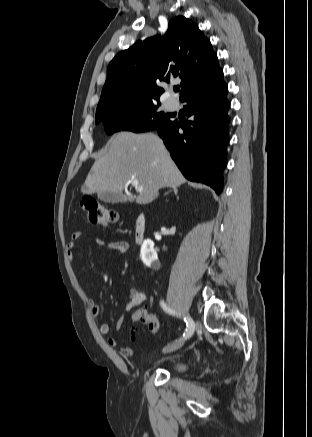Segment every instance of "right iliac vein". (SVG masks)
Listing matches in <instances>:
<instances>
[{"instance_id":"63e3f726","label":"right iliac vein","mask_w":312,"mask_h":437,"mask_svg":"<svg viewBox=\"0 0 312 437\" xmlns=\"http://www.w3.org/2000/svg\"><path fill=\"white\" fill-rule=\"evenodd\" d=\"M194 328H195V324H194ZM183 344L182 340H175L174 342H172L171 344L167 345L164 348V352H172L175 351L177 349H179Z\"/></svg>"}]
</instances>
